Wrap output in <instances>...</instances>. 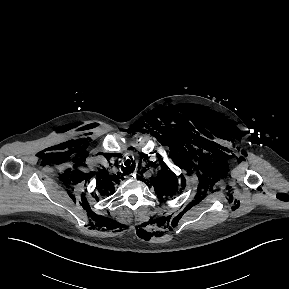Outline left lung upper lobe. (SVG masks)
I'll use <instances>...</instances> for the list:
<instances>
[{"mask_svg":"<svg viewBox=\"0 0 289 289\" xmlns=\"http://www.w3.org/2000/svg\"><path fill=\"white\" fill-rule=\"evenodd\" d=\"M163 169L164 170L160 171L156 179L153 181L155 191L160 198L173 196L178 190V180L175 174L168 171L166 165L163 166Z\"/></svg>","mask_w":289,"mask_h":289,"instance_id":"obj_1","label":"left lung upper lobe"}]
</instances>
